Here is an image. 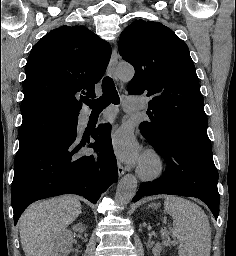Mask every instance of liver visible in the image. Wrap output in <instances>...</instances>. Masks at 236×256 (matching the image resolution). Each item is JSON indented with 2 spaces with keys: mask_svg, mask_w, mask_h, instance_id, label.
Returning a JSON list of instances; mask_svg holds the SVG:
<instances>
[{
  "mask_svg": "<svg viewBox=\"0 0 236 256\" xmlns=\"http://www.w3.org/2000/svg\"><path fill=\"white\" fill-rule=\"evenodd\" d=\"M81 214V204L73 196L36 202L20 218V238L25 256H51L55 240Z\"/></svg>",
  "mask_w": 236,
  "mask_h": 256,
  "instance_id": "1",
  "label": "liver"
}]
</instances>
